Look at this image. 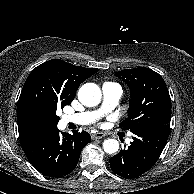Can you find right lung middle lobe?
I'll return each instance as SVG.
<instances>
[{
    "mask_svg": "<svg viewBox=\"0 0 194 194\" xmlns=\"http://www.w3.org/2000/svg\"><path fill=\"white\" fill-rule=\"evenodd\" d=\"M28 104L33 113L46 122L51 128L57 127L59 117L56 115L58 108L69 105L73 99L50 87L39 83L34 85L27 94Z\"/></svg>",
    "mask_w": 194,
    "mask_h": 194,
    "instance_id": "obj_1",
    "label": "right lung middle lobe"
}]
</instances>
